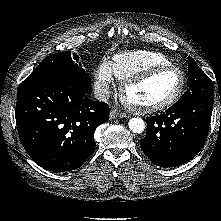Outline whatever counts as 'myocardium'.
<instances>
[{"instance_id":"obj_1","label":"myocardium","mask_w":221,"mask_h":221,"mask_svg":"<svg viewBox=\"0 0 221 221\" xmlns=\"http://www.w3.org/2000/svg\"><path fill=\"white\" fill-rule=\"evenodd\" d=\"M164 71H177L181 76L180 85H179L178 89L176 90V92L171 97H169L168 99H166L160 103H156V104H152V105H145V106L134 104L127 99L126 93L130 87H132L136 84H139V83L145 81L146 79L152 77L153 75L158 74L160 72H164ZM185 86H186V75L181 68H179L178 66H175V65L155 66V67H151V68L145 69L143 71H140V72L126 78L120 86V97H121L122 102L129 109H131L135 112L153 113V112L164 110V109L170 107L171 105H173L183 94Z\"/></svg>"}]
</instances>
